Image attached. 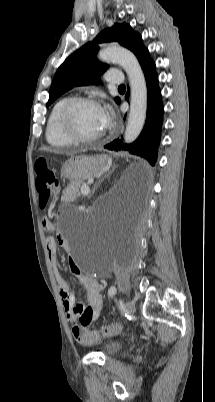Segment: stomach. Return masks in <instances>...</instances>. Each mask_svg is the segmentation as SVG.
Returning <instances> with one entry per match:
<instances>
[{
  "instance_id": "obj_1",
  "label": "stomach",
  "mask_w": 215,
  "mask_h": 402,
  "mask_svg": "<svg viewBox=\"0 0 215 402\" xmlns=\"http://www.w3.org/2000/svg\"><path fill=\"white\" fill-rule=\"evenodd\" d=\"M106 165V160L98 157L80 156L69 159L61 168V175L73 182H83L96 176Z\"/></svg>"
}]
</instances>
